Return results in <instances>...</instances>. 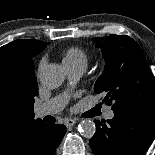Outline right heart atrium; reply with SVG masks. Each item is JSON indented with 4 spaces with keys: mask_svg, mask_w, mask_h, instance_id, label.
I'll return each mask as SVG.
<instances>
[{
    "mask_svg": "<svg viewBox=\"0 0 155 155\" xmlns=\"http://www.w3.org/2000/svg\"><path fill=\"white\" fill-rule=\"evenodd\" d=\"M46 64V59L45 58H42L40 63H39V67H38V73H40L43 69V67L45 66Z\"/></svg>",
    "mask_w": 155,
    "mask_h": 155,
    "instance_id": "right-heart-atrium-1",
    "label": "right heart atrium"
}]
</instances>
